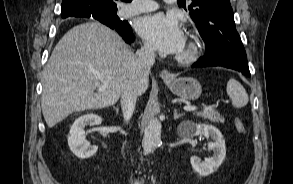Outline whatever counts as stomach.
<instances>
[{"instance_id": "stomach-1", "label": "stomach", "mask_w": 293, "mask_h": 184, "mask_svg": "<svg viewBox=\"0 0 293 184\" xmlns=\"http://www.w3.org/2000/svg\"><path fill=\"white\" fill-rule=\"evenodd\" d=\"M172 93L186 100L198 99L202 93L200 83L191 77H179L173 80H165Z\"/></svg>"}]
</instances>
